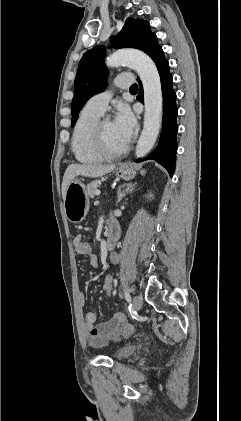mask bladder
I'll use <instances>...</instances> for the list:
<instances>
[{
	"label": "bladder",
	"instance_id": "bladder-1",
	"mask_svg": "<svg viewBox=\"0 0 241 421\" xmlns=\"http://www.w3.org/2000/svg\"><path fill=\"white\" fill-rule=\"evenodd\" d=\"M137 349L138 346L135 344L126 345L118 349L113 356L118 360L125 359L130 357Z\"/></svg>",
	"mask_w": 241,
	"mask_h": 421
}]
</instances>
